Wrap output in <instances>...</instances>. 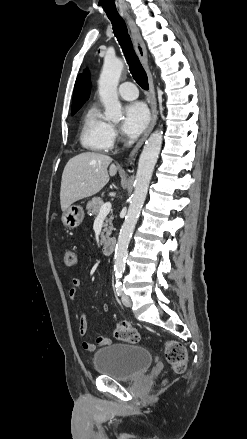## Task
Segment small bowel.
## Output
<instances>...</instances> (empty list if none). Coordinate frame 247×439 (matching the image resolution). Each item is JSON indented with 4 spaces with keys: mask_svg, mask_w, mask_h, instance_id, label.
<instances>
[{
    "mask_svg": "<svg viewBox=\"0 0 247 439\" xmlns=\"http://www.w3.org/2000/svg\"><path fill=\"white\" fill-rule=\"evenodd\" d=\"M81 290V281L77 278L73 279L71 282V286L69 288V296L72 300L75 299L76 295ZM103 312H108L109 307L108 305H103L102 307ZM79 333L82 338H86L88 336V330H87V322H86V315L84 312H81L80 318H79ZM111 338L105 335H99L97 336L95 342H89L84 341L82 343V346L87 351H95L99 347L107 346L111 344Z\"/></svg>",
    "mask_w": 247,
    "mask_h": 439,
    "instance_id": "c3829d8e",
    "label": "small bowel"
}]
</instances>
